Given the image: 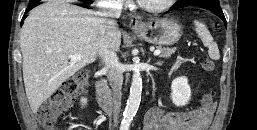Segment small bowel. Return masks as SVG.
I'll return each instance as SVG.
<instances>
[{
	"mask_svg": "<svg viewBox=\"0 0 257 130\" xmlns=\"http://www.w3.org/2000/svg\"><path fill=\"white\" fill-rule=\"evenodd\" d=\"M214 113V107L185 112L151 108L145 115L143 130H206Z\"/></svg>",
	"mask_w": 257,
	"mask_h": 130,
	"instance_id": "c3829d8e",
	"label": "small bowel"
}]
</instances>
